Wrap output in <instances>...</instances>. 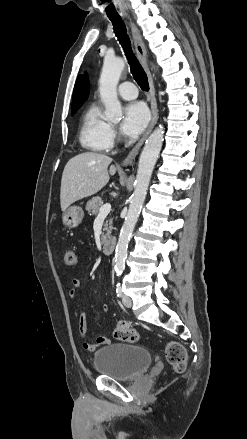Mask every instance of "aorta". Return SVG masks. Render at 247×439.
Segmentation results:
<instances>
[{
    "mask_svg": "<svg viewBox=\"0 0 247 439\" xmlns=\"http://www.w3.org/2000/svg\"><path fill=\"white\" fill-rule=\"evenodd\" d=\"M124 67L125 61L120 57H107L103 63L99 79V92L105 105V117L108 120L118 121L122 117V107L117 96V85ZM163 135L162 127L155 129L147 139L139 158L134 183L135 190L131 196L128 213L120 230L115 250L114 269L117 276L121 275L125 268L128 244L146 198L151 175L162 148Z\"/></svg>",
    "mask_w": 247,
    "mask_h": 439,
    "instance_id": "obj_1",
    "label": "aorta"
}]
</instances>
